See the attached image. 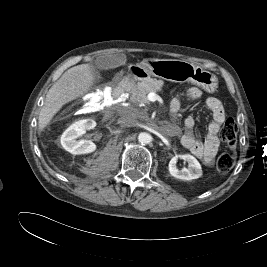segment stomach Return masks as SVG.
<instances>
[{
    "mask_svg": "<svg viewBox=\"0 0 267 267\" xmlns=\"http://www.w3.org/2000/svg\"><path fill=\"white\" fill-rule=\"evenodd\" d=\"M135 67L139 71L133 76L138 80L145 81L155 76L169 81L190 82L210 93L218 85V79L213 73L184 60L146 59Z\"/></svg>",
    "mask_w": 267,
    "mask_h": 267,
    "instance_id": "0dacf381",
    "label": "stomach"
}]
</instances>
